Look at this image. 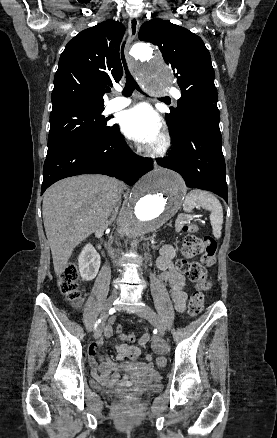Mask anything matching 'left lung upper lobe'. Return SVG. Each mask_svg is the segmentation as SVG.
<instances>
[{
	"label": "left lung upper lobe",
	"instance_id": "obj_1",
	"mask_svg": "<svg viewBox=\"0 0 277 438\" xmlns=\"http://www.w3.org/2000/svg\"><path fill=\"white\" fill-rule=\"evenodd\" d=\"M139 39L157 45L171 65L181 89L177 108L166 114L168 127L177 136L187 115L206 103L217 104L214 69L202 39L186 28L169 21L151 19L139 31Z\"/></svg>",
	"mask_w": 277,
	"mask_h": 438
}]
</instances>
